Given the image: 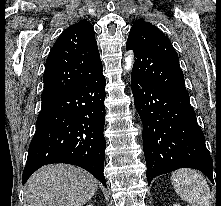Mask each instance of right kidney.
Returning a JSON list of instances; mask_svg holds the SVG:
<instances>
[{
    "label": "right kidney",
    "mask_w": 221,
    "mask_h": 206,
    "mask_svg": "<svg viewBox=\"0 0 221 206\" xmlns=\"http://www.w3.org/2000/svg\"><path fill=\"white\" fill-rule=\"evenodd\" d=\"M86 206H93L92 204H90V205H86Z\"/></svg>",
    "instance_id": "ca27d5eb"
}]
</instances>
